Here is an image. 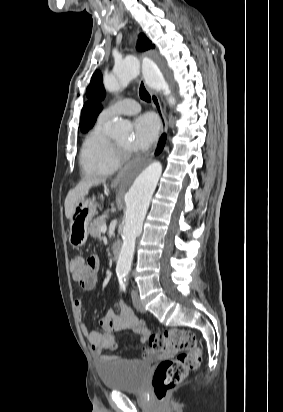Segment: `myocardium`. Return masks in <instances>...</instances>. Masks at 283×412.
<instances>
[{
    "label": "myocardium",
    "instance_id": "myocardium-1",
    "mask_svg": "<svg viewBox=\"0 0 283 412\" xmlns=\"http://www.w3.org/2000/svg\"><path fill=\"white\" fill-rule=\"evenodd\" d=\"M113 148L116 158L120 163H124L131 158V152L129 149L122 147L116 141H113Z\"/></svg>",
    "mask_w": 283,
    "mask_h": 412
}]
</instances>
